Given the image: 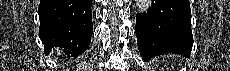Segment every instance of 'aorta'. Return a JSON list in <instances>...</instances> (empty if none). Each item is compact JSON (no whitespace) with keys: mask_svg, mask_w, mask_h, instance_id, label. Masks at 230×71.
Listing matches in <instances>:
<instances>
[{"mask_svg":"<svg viewBox=\"0 0 230 71\" xmlns=\"http://www.w3.org/2000/svg\"><path fill=\"white\" fill-rule=\"evenodd\" d=\"M136 4L141 13H147L151 6V0H136Z\"/></svg>","mask_w":230,"mask_h":71,"instance_id":"762f6f07","label":"aorta"}]
</instances>
